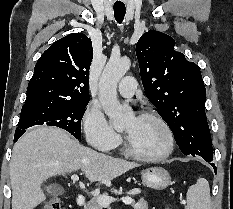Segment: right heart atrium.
Segmentation results:
<instances>
[{
  "instance_id": "1",
  "label": "right heart atrium",
  "mask_w": 233,
  "mask_h": 209,
  "mask_svg": "<svg viewBox=\"0 0 233 209\" xmlns=\"http://www.w3.org/2000/svg\"><path fill=\"white\" fill-rule=\"evenodd\" d=\"M85 137L90 146L100 151H111L120 144V137L107 123L101 108L89 103L82 118Z\"/></svg>"
}]
</instances>
